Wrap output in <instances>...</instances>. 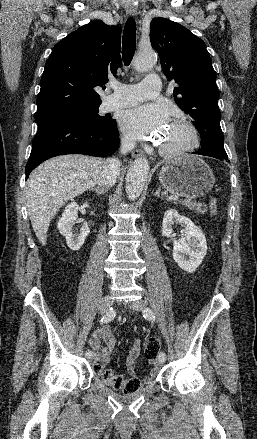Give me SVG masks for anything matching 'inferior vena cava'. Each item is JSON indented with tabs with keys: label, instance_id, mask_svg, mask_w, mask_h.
<instances>
[{
	"label": "inferior vena cava",
	"instance_id": "1",
	"mask_svg": "<svg viewBox=\"0 0 257 439\" xmlns=\"http://www.w3.org/2000/svg\"><path fill=\"white\" fill-rule=\"evenodd\" d=\"M136 145V142L129 138H123L121 141V154L125 155L131 151ZM120 163L117 159H109L105 161L102 171L98 177V184L104 187L113 186L119 174Z\"/></svg>",
	"mask_w": 257,
	"mask_h": 439
}]
</instances>
